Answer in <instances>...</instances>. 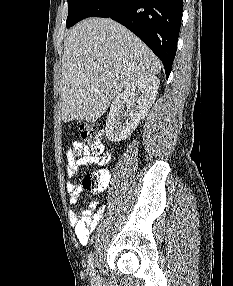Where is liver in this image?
Masks as SVG:
<instances>
[{"label":"liver","mask_w":233,"mask_h":286,"mask_svg":"<svg viewBox=\"0 0 233 286\" xmlns=\"http://www.w3.org/2000/svg\"><path fill=\"white\" fill-rule=\"evenodd\" d=\"M160 71L158 58L124 26L111 19H86L68 31L64 40L62 120L94 122L123 87Z\"/></svg>","instance_id":"6515ba94"}]
</instances>
